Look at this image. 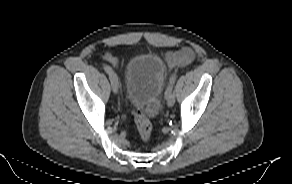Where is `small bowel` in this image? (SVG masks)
Returning a JSON list of instances; mask_svg holds the SVG:
<instances>
[{
	"label": "small bowel",
	"mask_w": 292,
	"mask_h": 184,
	"mask_svg": "<svg viewBox=\"0 0 292 184\" xmlns=\"http://www.w3.org/2000/svg\"><path fill=\"white\" fill-rule=\"evenodd\" d=\"M194 60V52L189 47L181 48L177 51L170 52L166 55V62L170 69H174L177 67H185L192 63ZM110 62L114 65H118V60L116 58H112Z\"/></svg>",
	"instance_id": "obj_1"
}]
</instances>
